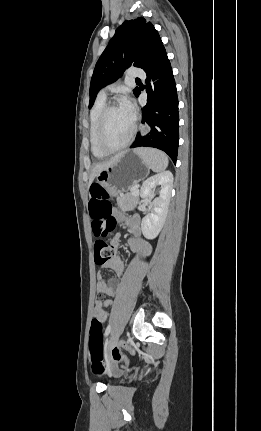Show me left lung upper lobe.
Segmentation results:
<instances>
[{"instance_id": "1", "label": "left lung upper lobe", "mask_w": 261, "mask_h": 431, "mask_svg": "<svg viewBox=\"0 0 261 431\" xmlns=\"http://www.w3.org/2000/svg\"><path fill=\"white\" fill-rule=\"evenodd\" d=\"M162 46L158 32L144 18L124 21L96 63L90 83L89 108L101 88L116 81L130 66L144 69ZM138 90L134 89L135 95Z\"/></svg>"}]
</instances>
